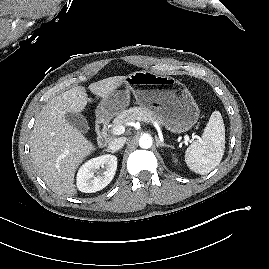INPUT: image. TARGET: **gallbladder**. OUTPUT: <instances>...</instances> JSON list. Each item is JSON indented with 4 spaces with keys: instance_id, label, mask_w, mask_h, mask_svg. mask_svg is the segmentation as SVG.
I'll return each mask as SVG.
<instances>
[{
    "instance_id": "bac80fb5",
    "label": "gallbladder",
    "mask_w": 269,
    "mask_h": 269,
    "mask_svg": "<svg viewBox=\"0 0 269 269\" xmlns=\"http://www.w3.org/2000/svg\"><path fill=\"white\" fill-rule=\"evenodd\" d=\"M67 122L80 132L87 133L90 129L86 118L81 113L67 112L65 114Z\"/></svg>"
}]
</instances>
